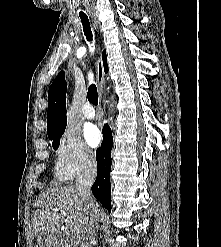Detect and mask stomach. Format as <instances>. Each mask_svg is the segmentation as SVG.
I'll return each instance as SVG.
<instances>
[{
    "label": "stomach",
    "instance_id": "0dacf381",
    "mask_svg": "<svg viewBox=\"0 0 221 247\" xmlns=\"http://www.w3.org/2000/svg\"><path fill=\"white\" fill-rule=\"evenodd\" d=\"M53 232H41L37 237L39 247H50L53 241Z\"/></svg>",
    "mask_w": 221,
    "mask_h": 247
}]
</instances>
